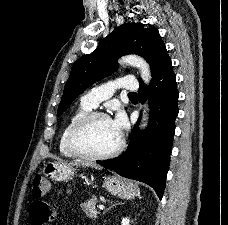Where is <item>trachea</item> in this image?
I'll return each instance as SVG.
<instances>
[{
    "label": "trachea",
    "instance_id": "obj_1",
    "mask_svg": "<svg viewBox=\"0 0 228 225\" xmlns=\"http://www.w3.org/2000/svg\"><path fill=\"white\" fill-rule=\"evenodd\" d=\"M128 96H136V93H135V92H130V93L128 94Z\"/></svg>",
    "mask_w": 228,
    "mask_h": 225
}]
</instances>
